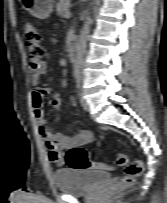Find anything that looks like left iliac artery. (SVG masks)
I'll return each mask as SVG.
<instances>
[{"label": "left iliac artery", "mask_w": 167, "mask_h": 203, "mask_svg": "<svg viewBox=\"0 0 167 203\" xmlns=\"http://www.w3.org/2000/svg\"><path fill=\"white\" fill-rule=\"evenodd\" d=\"M80 83H81V77L77 76V85H78V87H80Z\"/></svg>", "instance_id": "44dca946"}]
</instances>
